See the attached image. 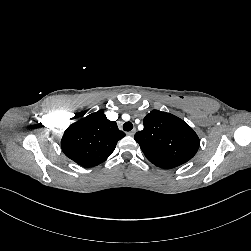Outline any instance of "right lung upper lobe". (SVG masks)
Returning <instances> with one entry per match:
<instances>
[{
    "mask_svg": "<svg viewBox=\"0 0 251 251\" xmlns=\"http://www.w3.org/2000/svg\"><path fill=\"white\" fill-rule=\"evenodd\" d=\"M125 136L115 121H110L102 110L71 124L61 140L64 154L84 167L104 162Z\"/></svg>",
    "mask_w": 251,
    "mask_h": 251,
    "instance_id": "right-lung-upper-lobe-1",
    "label": "right lung upper lobe"
}]
</instances>
